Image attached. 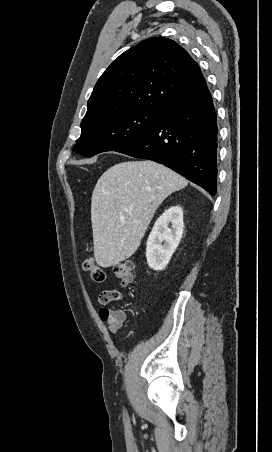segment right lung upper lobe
<instances>
[{
  "label": "right lung upper lobe",
  "instance_id": "right-lung-upper-lobe-1",
  "mask_svg": "<svg viewBox=\"0 0 272 452\" xmlns=\"http://www.w3.org/2000/svg\"><path fill=\"white\" fill-rule=\"evenodd\" d=\"M206 84L175 41L153 37L121 54L97 81L82 121L132 108L166 110Z\"/></svg>",
  "mask_w": 272,
  "mask_h": 452
}]
</instances>
